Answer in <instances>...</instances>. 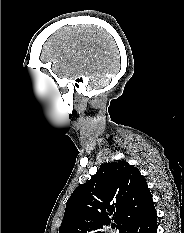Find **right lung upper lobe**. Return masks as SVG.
I'll return each mask as SVG.
<instances>
[{
  "instance_id": "right-lung-upper-lobe-1",
  "label": "right lung upper lobe",
  "mask_w": 184,
  "mask_h": 233,
  "mask_svg": "<svg viewBox=\"0 0 184 233\" xmlns=\"http://www.w3.org/2000/svg\"><path fill=\"white\" fill-rule=\"evenodd\" d=\"M152 205L139 169L126 161L105 163L68 199L59 233H104L98 229L111 220L121 233Z\"/></svg>"
}]
</instances>
